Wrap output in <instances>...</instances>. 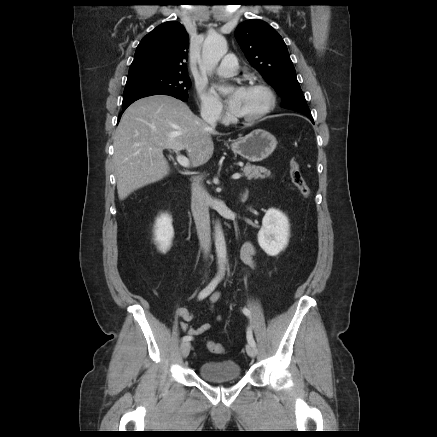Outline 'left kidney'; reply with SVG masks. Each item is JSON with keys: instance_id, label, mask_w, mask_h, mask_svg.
Instances as JSON below:
<instances>
[{"instance_id": "left-kidney-1", "label": "left kidney", "mask_w": 437, "mask_h": 437, "mask_svg": "<svg viewBox=\"0 0 437 437\" xmlns=\"http://www.w3.org/2000/svg\"><path fill=\"white\" fill-rule=\"evenodd\" d=\"M290 224L281 211L269 209L262 220L258 232V243L269 256H277L283 251L289 241Z\"/></svg>"}]
</instances>
